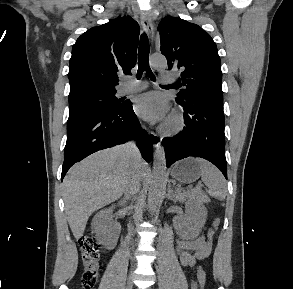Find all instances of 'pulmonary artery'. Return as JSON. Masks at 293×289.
Wrapping results in <instances>:
<instances>
[{"instance_id":"pulmonary-artery-1","label":"pulmonary artery","mask_w":293,"mask_h":289,"mask_svg":"<svg viewBox=\"0 0 293 289\" xmlns=\"http://www.w3.org/2000/svg\"><path fill=\"white\" fill-rule=\"evenodd\" d=\"M160 81L163 83H169L173 81V74L171 72H161ZM148 86V83L143 80L132 79L127 81L123 87L121 92L123 94H129L133 92H137L145 89Z\"/></svg>"}]
</instances>
